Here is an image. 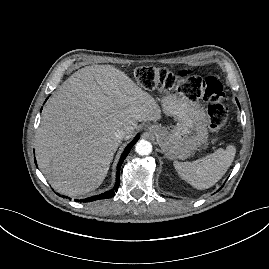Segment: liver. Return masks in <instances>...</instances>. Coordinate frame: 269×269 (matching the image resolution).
<instances>
[{
    "mask_svg": "<svg viewBox=\"0 0 269 269\" xmlns=\"http://www.w3.org/2000/svg\"><path fill=\"white\" fill-rule=\"evenodd\" d=\"M155 99L112 65H92L71 75L43 110L36 133L38 165L60 193L79 196L104 181L121 142L118 128L130 139L138 122L157 121Z\"/></svg>",
    "mask_w": 269,
    "mask_h": 269,
    "instance_id": "6515ba94",
    "label": "liver"
}]
</instances>
